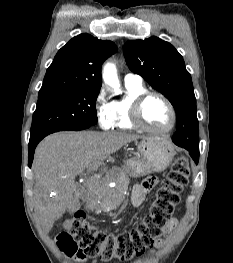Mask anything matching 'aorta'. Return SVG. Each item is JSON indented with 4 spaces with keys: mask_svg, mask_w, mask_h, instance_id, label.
I'll return each mask as SVG.
<instances>
[{
    "mask_svg": "<svg viewBox=\"0 0 233 263\" xmlns=\"http://www.w3.org/2000/svg\"><path fill=\"white\" fill-rule=\"evenodd\" d=\"M102 76L107 85L111 86L116 93H121L117 70L113 63L107 62L104 65Z\"/></svg>",
    "mask_w": 233,
    "mask_h": 263,
    "instance_id": "762f6f07",
    "label": "aorta"
}]
</instances>
